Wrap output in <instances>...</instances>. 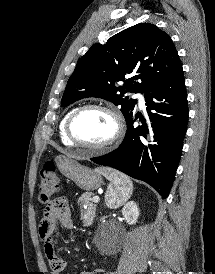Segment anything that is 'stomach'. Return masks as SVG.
<instances>
[{
    "mask_svg": "<svg viewBox=\"0 0 215 274\" xmlns=\"http://www.w3.org/2000/svg\"><path fill=\"white\" fill-rule=\"evenodd\" d=\"M56 164L59 171L65 177L75 182V184L82 190H96L103 184L102 176L97 170H92L83 166L72 158L58 156L56 158Z\"/></svg>",
    "mask_w": 215,
    "mask_h": 274,
    "instance_id": "0dacf381",
    "label": "stomach"
}]
</instances>
